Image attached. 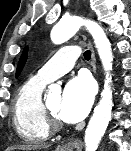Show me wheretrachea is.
I'll return each instance as SVG.
<instances>
[{"label":"trachea","mask_w":131,"mask_h":151,"mask_svg":"<svg viewBox=\"0 0 131 151\" xmlns=\"http://www.w3.org/2000/svg\"><path fill=\"white\" fill-rule=\"evenodd\" d=\"M84 58H85L86 60H90V58H91V51L86 50V51L84 52Z\"/></svg>","instance_id":"3493384b"}]
</instances>
